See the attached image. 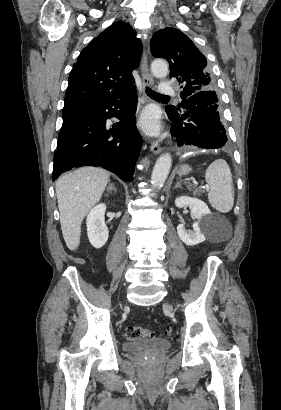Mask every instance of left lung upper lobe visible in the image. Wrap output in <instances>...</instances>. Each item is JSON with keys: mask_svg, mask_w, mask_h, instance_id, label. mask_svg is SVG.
<instances>
[{"mask_svg": "<svg viewBox=\"0 0 281 410\" xmlns=\"http://www.w3.org/2000/svg\"><path fill=\"white\" fill-rule=\"evenodd\" d=\"M150 49L154 57L164 58L170 64V78H176L182 85V99L201 91H215L216 83L205 56L178 29L167 27L157 31L150 41ZM166 110L176 112L180 108L170 105Z\"/></svg>", "mask_w": 281, "mask_h": 410, "instance_id": "1", "label": "left lung upper lobe"}]
</instances>
